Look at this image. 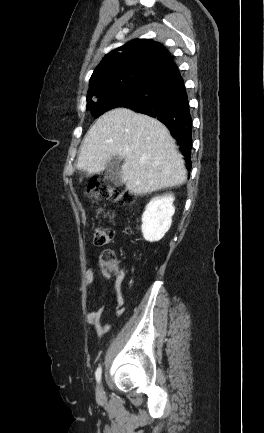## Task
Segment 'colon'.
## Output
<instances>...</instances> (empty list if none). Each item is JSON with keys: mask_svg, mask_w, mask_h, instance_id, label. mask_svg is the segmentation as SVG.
<instances>
[{"mask_svg": "<svg viewBox=\"0 0 264 433\" xmlns=\"http://www.w3.org/2000/svg\"><path fill=\"white\" fill-rule=\"evenodd\" d=\"M87 194L99 200H113L122 205L133 204L135 196L133 193L117 189L107 184L106 182L93 179L89 182ZM111 216V214H109ZM128 231H131L129 228ZM92 241L96 246H106L113 241V230L105 224H94L92 226ZM101 261L111 270L115 268V256L111 252H105L102 255Z\"/></svg>", "mask_w": 264, "mask_h": 433, "instance_id": "colon-1", "label": "colon"}]
</instances>
